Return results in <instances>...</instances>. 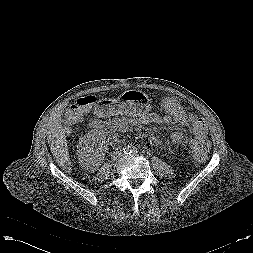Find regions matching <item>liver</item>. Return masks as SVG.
I'll use <instances>...</instances> for the list:
<instances>
[{
  "mask_svg": "<svg viewBox=\"0 0 253 253\" xmlns=\"http://www.w3.org/2000/svg\"><path fill=\"white\" fill-rule=\"evenodd\" d=\"M62 108L54 112L47 124V140L58 165L65 171L72 170L65 131L62 126Z\"/></svg>",
  "mask_w": 253,
  "mask_h": 253,
  "instance_id": "1",
  "label": "liver"
}]
</instances>
